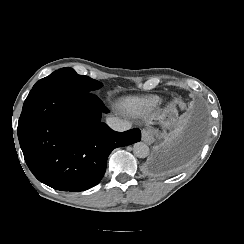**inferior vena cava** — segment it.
Instances as JSON below:
<instances>
[{"label": "inferior vena cava", "mask_w": 244, "mask_h": 244, "mask_svg": "<svg viewBox=\"0 0 244 244\" xmlns=\"http://www.w3.org/2000/svg\"><path fill=\"white\" fill-rule=\"evenodd\" d=\"M107 125L115 131H126L131 128V123L119 119L118 117H109L106 119Z\"/></svg>", "instance_id": "602c4592"}]
</instances>
